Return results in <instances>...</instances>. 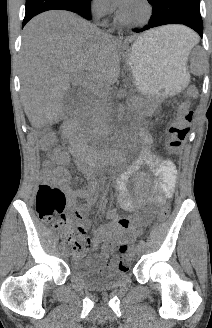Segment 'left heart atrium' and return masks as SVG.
Segmentation results:
<instances>
[{
	"label": "left heart atrium",
	"mask_w": 212,
	"mask_h": 328,
	"mask_svg": "<svg viewBox=\"0 0 212 328\" xmlns=\"http://www.w3.org/2000/svg\"><path fill=\"white\" fill-rule=\"evenodd\" d=\"M114 3L125 12L133 4L135 0H113Z\"/></svg>",
	"instance_id": "left-heart-atrium-1"
}]
</instances>
